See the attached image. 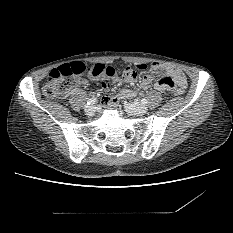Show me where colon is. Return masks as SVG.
<instances>
[{
	"mask_svg": "<svg viewBox=\"0 0 233 233\" xmlns=\"http://www.w3.org/2000/svg\"><path fill=\"white\" fill-rule=\"evenodd\" d=\"M148 68V65L141 64L138 69L147 70ZM115 73L116 70L111 65L90 64L82 61L72 62L50 72L43 86V94L48 98L63 97L74 87L78 76L91 75L96 78L108 79ZM121 76L125 81H132L136 76V72L129 66L121 72ZM174 93L181 94L183 89H177Z\"/></svg>",
	"mask_w": 233,
	"mask_h": 233,
	"instance_id": "1",
	"label": "colon"
}]
</instances>
